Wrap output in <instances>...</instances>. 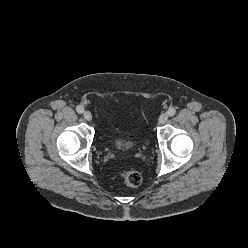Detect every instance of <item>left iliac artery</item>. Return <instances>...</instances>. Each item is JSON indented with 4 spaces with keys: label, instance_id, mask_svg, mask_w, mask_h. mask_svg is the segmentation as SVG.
<instances>
[{
    "label": "left iliac artery",
    "instance_id": "1",
    "mask_svg": "<svg viewBox=\"0 0 248 248\" xmlns=\"http://www.w3.org/2000/svg\"><path fill=\"white\" fill-rule=\"evenodd\" d=\"M167 114L171 117L176 114V110L174 108H169Z\"/></svg>",
    "mask_w": 248,
    "mask_h": 248
}]
</instances>
